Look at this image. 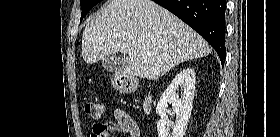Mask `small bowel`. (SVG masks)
Segmentation results:
<instances>
[{"label": "small bowel", "mask_w": 280, "mask_h": 137, "mask_svg": "<svg viewBox=\"0 0 280 137\" xmlns=\"http://www.w3.org/2000/svg\"><path fill=\"white\" fill-rule=\"evenodd\" d=\"M127 120H130L128 116L123 111L117 110L115 120L95 123L92 126L91 137H110L113 131L125 133L128 137H140L136 127L128 125Z\"/></svg>", "instance_id": "1"}]
</instances>
